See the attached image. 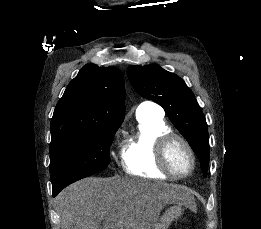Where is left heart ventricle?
Wrapping results in <instances>:
<instances>
[{"label":"left heart ventricle","mask_w":261,"mask_h":229,"mask_svg":"<svg viewBox=\"0 0 261 229\" xmlns=\"http://www.w3.org/2000/svg\"><path fill=\"white\" fill-rule=\"evenodd\" d=\"M169 159L173 169L179 173L186 172L191 165L189 153L181 143H176L172 146L169 152Z\"/></svg>","instance_id":"left-heart-ventricle-1"}]
</instances>
